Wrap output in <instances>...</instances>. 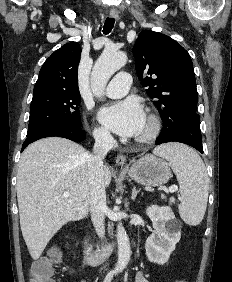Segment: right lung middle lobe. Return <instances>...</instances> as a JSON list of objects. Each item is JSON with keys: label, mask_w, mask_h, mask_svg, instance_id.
Listing matches in <instances>:
<instances>
[{"label": "right lung middle lobe", "mask_w": 232, "mask_h": 282, "mask_svg": "<svg viewBox=\"0 0 232 282\" xmlns=\"http://www.w3.org/2000/svg\"><path fill=\"white\" fill-rule=\"evenodd\" d=\"M79 104V92H33L27 134L59 123L81 127Z\"/></svg>", "instance_id": "right-lung-middle-lobe-1"}]
</instances>
